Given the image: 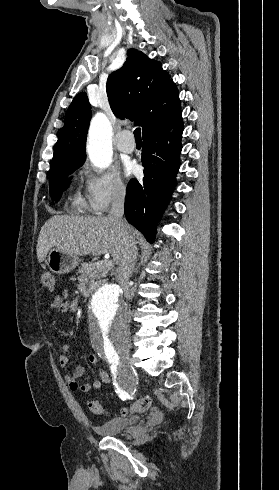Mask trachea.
<instances>
[{"label": "trachea", "instance_id": "trachea-1", "mask_svg": "<svg viewBox=\"0 0 279 490\" xmlns=\"http://www.w3.org/2000/svg\"><path fill=\"white\" fill-rule=\"evenodd\" d=\"M134 136H135L136 141H141V129L140 128H136L134 130Z\"/></svg>", "mask_w": 279, "mask_h": 490}]
</instances>
